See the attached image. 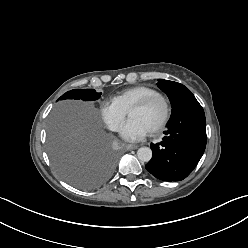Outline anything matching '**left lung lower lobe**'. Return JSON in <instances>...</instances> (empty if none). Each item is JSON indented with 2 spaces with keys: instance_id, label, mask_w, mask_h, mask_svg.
Wrapping results in <instances>:
<instances>
[{
  "instance_id": "1",
  "label": "left lung lower lobe",
  "mask_w": 248,
  "mask_h": 248,
  "mask_svg": "<svg viewBox=\"0 0 248 248\" xmlns=\"http://www.w3.org/2000/svg\"><path fill=\"white\" fill-rule=\"evenodd\" d=\"M163 141L151 143L152 159L145 168L163 181H181L196 167L207 142L206 119L195 97L187 99L172 115Z\"/></svg>"
}]
</instances>
